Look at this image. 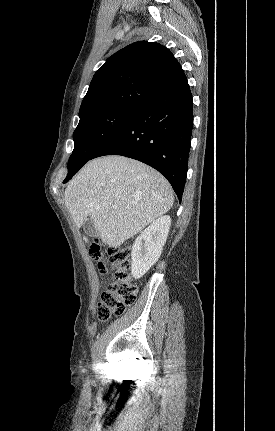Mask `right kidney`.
I'll return each instance as SVG.
<instances>
[{"instance_id": "ca27d5eb", "label": "right kidney", "mask_w": 275, "mask_h": 431, "mask_svg": "<svg viewBox=\"0 0 275 431\" xmlns=\"http://www.w3.org/2000/svg\"><path fill=\"white\" fill-rule=\"evenodd\" d=\"M170 225V216H161L136 238L131 251V274L134 278L142 277L158 261Z\"/></svg>"}]
</instances>
